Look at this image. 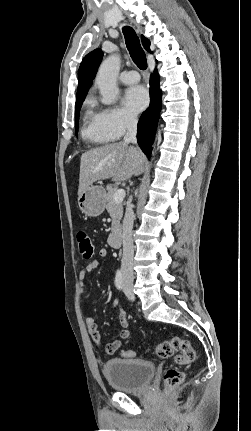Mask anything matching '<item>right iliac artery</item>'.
<instances>
[{
    "instance_id": "1",
    "label": "right iliac artery",
    "mask_w": 251,
    "mask_h": 431,
    "mask_svg": "<svg viewBox=\"0 0 251 431\" xmlns=\"http://www.w3.org/2000/svg\"><path fill=\"white\" fill-rule=\"evenodd\" d=\"M115 286L121 290L123 288V278H122V273L120 270H118L116 272V276H115Z\"/></svg>"
}]
</instances>
